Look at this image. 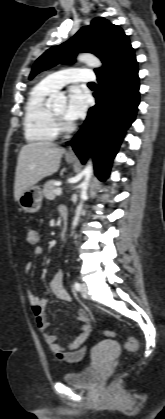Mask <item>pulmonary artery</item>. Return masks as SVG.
Returning a JSON list of instances; mask_svg holds the SVG:
<instances>
[{"instance_id":"obj_1","label":"pulmonary artery","mask_w":165,"mask_h":419,"mask_svg":"<svg viewBox=\"0 0 165 419\" xmlns=\"http://www.w3.org/2000/svg\"><path fill=\"white\" fill-rule=\"evenodd\" d=\"M94 71L87 67H74L47 75L42 83L52 90H57L72 82H93Z\"/></svg>"}]
</instances>
